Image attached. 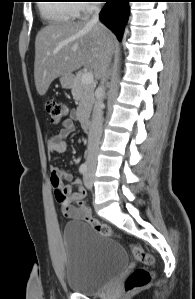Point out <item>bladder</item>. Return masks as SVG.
I'll use <instances>...</instances> for the list:
<instances>
[{
  "instance_id": "1",
  "label": "bladder",
  "mask_w": 195,
  "mask_h": 299,
  "mask_svg": "<svg viewBox=\"0 0 195 299\" xmlns=\"http://www.w3.org/2000/svg\"><path fill=\"white\" fill-rule=\"evenodd\" d=\"M63 245L65 283L75 292L96 293L128 266V256L119 243L81 220L65 224Z\"/></svg>"
}]
</instances>
